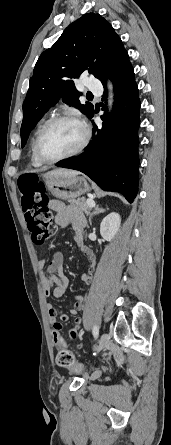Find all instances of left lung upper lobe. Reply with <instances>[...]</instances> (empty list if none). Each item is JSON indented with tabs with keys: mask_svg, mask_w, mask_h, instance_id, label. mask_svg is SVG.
Listing matches in <instances>:
<instances>
[{
	"mask_svg": "<svg viewBox=\"0 0 171 445\" xmlns=\"http://www.w3.org/2000/svg\"><path fill=\"white\" fill-rule=\"evenodd\" d=\"M128 63L120 37L101 15L87 13L70 24L35 65L23 103L22 147L37 122L61 97L64 103L90 117L94 106L80 103L81 93L75 88L74 78L88 70L104 84V72L112 77Z\"/></svg>",
	"mask_w": 171,
	"mask_h": 445,
	"instance_id": "left-lung-upper-lobe-1",
	"label": "left lung upper lobe"
}]
</instances>
